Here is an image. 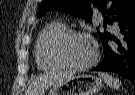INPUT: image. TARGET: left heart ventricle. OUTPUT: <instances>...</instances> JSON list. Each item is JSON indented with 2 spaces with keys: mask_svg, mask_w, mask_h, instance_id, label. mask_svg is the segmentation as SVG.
Wrapping results in <instances>:
<instances>
[{
  "mask_svg": "<svg viewBox=\"0 0 135 95\" xmlns=\"http://www.w3.org/2000/svg\"><path fill=\"white\" fill-rule=\"evenodd\" d=\"M62 55L70 64L82 65L91 60L93 47L87 39L73 37L64 44Z\"/></svg>",
  "mask_w": 135,
  "mask_h": 95,
  "instance_id": "1",
  "label": "left heart ventricle"
}]
</instances>
